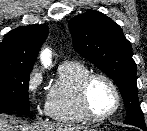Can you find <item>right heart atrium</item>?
Wrapping results in <instances>:
<instances>
[{
	"instance_id": "obj_1",
	"label": "right heart atrium",
	"mask_w": 147,
	"mask_h": 131,
	"mask_svg": "<svg viewBox=\"0 0 147 131\" xmlns=\"http://www.w3.org/2000/svg\"><path fill=\"white\" fill-rule=\"evenodd\" d=\"M42 84V75L39 71L33 70L27 80V94L36 113L40 116H49L48 100L40 99V89Z\"/></svg>"
}]
</instances>
